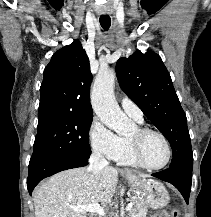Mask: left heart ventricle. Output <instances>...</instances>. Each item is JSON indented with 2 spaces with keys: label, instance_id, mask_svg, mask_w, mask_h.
<instances>
[{
  "label": "left heart ventricle",
  "instance_id": "left-heart-ventricle-1",
  "mask_svg": "<svg viewBox=\"0 0 211 217\" xmlns=\"http://www.w3.org/2000/svg\"><path fill=\"white\" fill-rule=\"evenodd\" d=\"M135 134L136 131H134L130 137ZM142 154L148 165L159 166L166 161L167 147L161 137L155 134H150L143 141Z\"/></svg>",
  "mask_w": 211,
  "mask_h": 217
}]
</instances>
